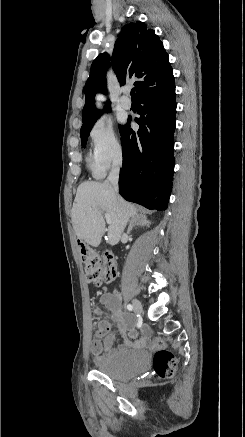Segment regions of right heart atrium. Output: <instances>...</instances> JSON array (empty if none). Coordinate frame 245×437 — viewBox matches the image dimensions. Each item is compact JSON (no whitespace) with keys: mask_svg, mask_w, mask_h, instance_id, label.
Listing matches in <instances>:
<instances>
[{"mask_svg":"<svg viewBox=\"0 0 245 437\" xmlns=\"http://www.w3.org/2000/svg\"><path fill=\"white\" fill-rule=\"evenodd\" d=\"M91 166L97 177H103L122 160L123 147L111 122L97 121L90 130Z\"/></svg>","mask_w":245,"mask_h":437,"instance_id":"d8ad5b80","label":"right heart atrium"}]
</instances>
